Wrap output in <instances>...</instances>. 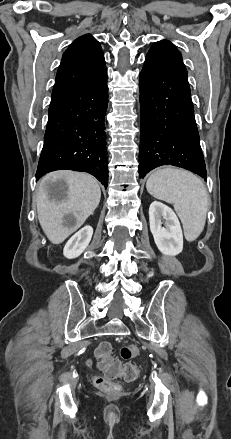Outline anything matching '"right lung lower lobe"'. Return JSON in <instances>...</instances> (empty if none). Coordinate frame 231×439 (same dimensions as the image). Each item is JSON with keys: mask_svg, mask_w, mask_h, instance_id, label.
I'll return each instance as SVG.
<instances>
[{"mask_svg": "<svg viewBox=\"0 0 231 439\" xmlns=\"http://www.w3.org/2000/svg\"><path fill=\"white\" fill-rule=\"evenodd\" d=\"M107 75L56 101H51L36 180L61 169L88 172L108 183L105 115Z\"/></svg>", "mask_w": 231, "mask_h": 439, "instance_id": "obj_1", "label": "right lung lower lobe"}]
</instances>
